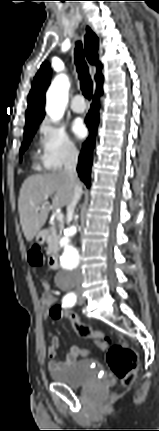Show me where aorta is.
<instances>
[{
	"instance_id": "1",
	"label": "aorta",
	"mask_w": 159,
	"mask_h": 431,
	"mask_svg": "<svg viewBox=\"0 0 159 431\" xmlns=\"http://www.w3.org/2000/svg\"><path fill=\"white\" fill-rule=\"evenodd\" d=\"M69 79L66 75L60 74L55 77L46 94V112L53 120H59L63 114L68 101ZM76 225L66 228L62 236L63 252L60 258L62 267L65 270H75L80 265V253L71 244L72 239L78 233Z\"/></svg>"
}]
</instances>
